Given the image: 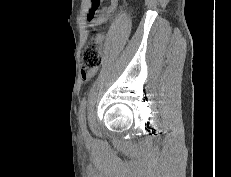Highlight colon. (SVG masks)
<instances>
[{"mask_svg": "<svg viewBox=\"0 0 231 177\" xmlns=\"http://www.w3.org/2000/svg\"><path fill=\"white\" fill-rule=\"evenodd\" d=\"M102 61L100 42L97 38L90 39L83 48L82 63L84 72L97 68Z\"/></svg>", "mask_w": 231, "mask_h": 177, "instance_id": "colon-1", "label": "colon"}]
</instances>
